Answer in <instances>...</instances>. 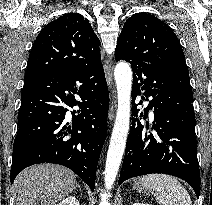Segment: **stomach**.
<instances>
[{"instance_id":"0dacf381","label":"stomach","mask_w":212,"mask_h":205,"mask_svg":"<svg viewBox=\"0 0 212 205\" xmlns=\"http://www.w3.org/2000/svg\"><path fill=\"white\" fill-rule=\"evenodd\" d=\"M133 189L136 190V191H138V192H145L146 191V190L144 191V189L139 184H135L133 186Z\"/></svg>"}]
</instances>
